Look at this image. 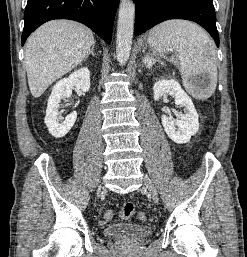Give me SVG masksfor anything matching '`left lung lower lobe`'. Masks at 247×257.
<instances>
[{
	"label": "left lung lower lobe",
	"instance_id": "left-lung-lower-lobe-1",
	"mask_svg": "<svg viewBox=\"0 0 247 257\" xmlns=\"http://www.w3.org/2000/svg\"><path fill=\"white\" fill-rule=\"evenodd\" d=\"M135 35L169 19L191 20L208 31L219 46L212 0H135Z\"/></svg>",
	"mask_w": 247,
	"mask_h": 257
}]
</instances>
